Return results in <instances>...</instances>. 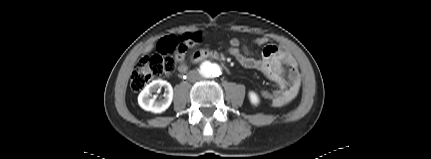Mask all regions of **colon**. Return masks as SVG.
<instances>
[{"label":"colon","instance_id":"colon-1","mask_svg":"<svg viewBox=\"0 0 431 159\" xmlns=\"http://www.w3.org/2000/svg\"><path fill=\"white\" fill-rule=\"evenodd\" d=\"M197 34H185L183 36L170 35L163 38L158 45V49L151 55L144 56L134 67L131 74L130 86L134 91L142 90L149 82L158 79L163 75H169L176 69L174 56L182 57L187 49L197 42ZM243 53V47H230L227 56H240ZM271 92L266 90L260 91L261 97L271 98Z\"/></svg>","mask_w":431,"mask_h":159}]
</instances>
